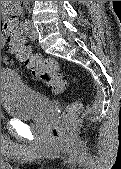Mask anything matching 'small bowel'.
Here are the masks:
<instances>
[{"label": "small bowel", "mask_w": 121, "mask_h": 169, "mask_svg": "<svg viewBox=\"0 0 121 169\" xmlns=\"http://www.w3.org/2000/svg\"><path fill=\"white\" fill-rule=\"evenodd\" d=\"M1 33H2V45L5 44L4 33L8 30H17L18 28V20L17 15L19 13V7L15 3V1H1Z\"/></svg>", "instance_id": "c3829d8e"}]
</instances>
